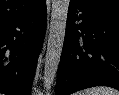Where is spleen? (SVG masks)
<instances>
[{"mask_svg":"<svg viewBox=\"0 0 119 95\" xmlns=\"http://www.w3.org/2000/svg\"><path fill=\"white\" fill-rule=\"evenodd\" d=\"M78 95H119V91L110 87H94L78 93Z\"/></svg>","mask_w":119,"mask_h":95,"instance_id":"obj_1","label":"spleen"}]
</instances>
